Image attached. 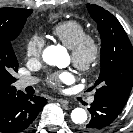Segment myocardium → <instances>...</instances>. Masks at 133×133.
I'll return each mask as SVG.
<instances>
[{
    "mask_svg": "<svg viewBox=\"0 0 133 133\" xmlns=\"http://www.w3.org/2000/svg\"><path fill=\"white\" fill-rule=\"evenodd\" d=\"M73 65L81 72H92L101 59V45L94 34L86 33L70 48Z\"/></svg>",
    "mask_w": 133,
    "mask_h": 133,
    "instance_id": "1",
    "label": "myocardium"
}]
</instances>
